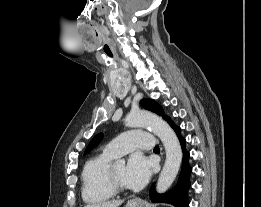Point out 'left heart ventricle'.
<instances>
[{"label": "left heart ventricle", "mask_w": 261, "mask_h": 207, "mask_svg": "<svg viewBox=\"0 0 261 207\" xmlns=\"http://www.w3.org/2000/svg\"><path fill=\"white\" fill-rule=\"evenodd\" d=\"M125 170H126V166L124 164H116L113 166V171L116 180L120 185L127 188V185L125 183Z\"/></svg>", "instance_id": "obj_1"}]
</instances>
